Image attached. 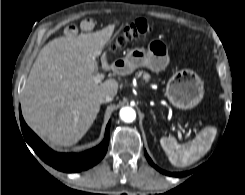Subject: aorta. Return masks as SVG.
<instances>
[{
  "mask_svg": "<svg viewBox=\"0 0 245 195\" xmlns=\"http://www.w3.org/2000/svg\"><path fill=\"white\" fill-rule=\"evenodd\" d=\"M120 118L126 123H131L136 119V112L131 107H123L119 112Z\"/></svg>",
  "mask_w": 245,
  "mask_h": 195,
  "instance_id": "aorta-1",
  "label": "aorta"
}]
</instances>
